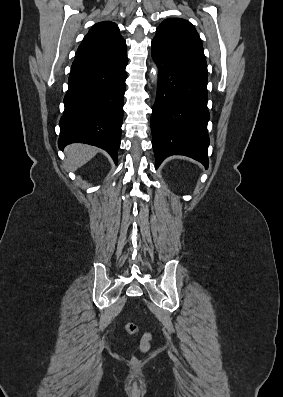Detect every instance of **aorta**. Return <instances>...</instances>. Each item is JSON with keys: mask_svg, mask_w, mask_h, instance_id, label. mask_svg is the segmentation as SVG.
<instances>
[{"mask_svg": "<svg viewBox=\"0 0 283 397\" xmlns=\"http://www.w3.org/2000/svg\"><path fill=\"white\" fill-rule=\"evenodd\" d=\"M149 77H150L151 83H153V84L157 83V81H158V68H157L156 64H153L152 70H151V72L149 74Z\"/></svg>", "mask_w": 283, "mask_h": 397, "instance_id": "762f6f07", "label": "aorta"}]
</instances>
